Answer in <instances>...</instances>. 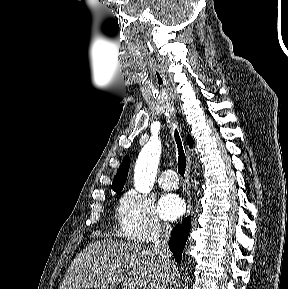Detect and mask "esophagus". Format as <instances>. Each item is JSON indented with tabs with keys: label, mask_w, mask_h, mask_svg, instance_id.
<instances>
[{
	"label": "esophagus",
	"mask_w": 288,
	"mask_h": 289,
	"mask_svg": "<svg viewBox=\"0 0 288 289\" xmlns=\"http://www.w3.org/2000/svg\"><path fill=\"white\" fill-rule=\"evenodd\" d=\"M190 167H191V161L190 158H188L187 162V169H186V180L189 182V173H190ZM187 213H190L191 210V197H190V192H187Z\"/></svg>",
	"instance_id": "1"
}]
</instances>
